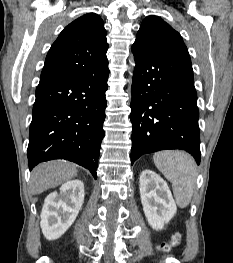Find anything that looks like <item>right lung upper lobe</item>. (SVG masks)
Listing matches in <instances>:
<instances>
[{
  "instance_id": "cb5924a9",
  "label": "right lung upper lobe",
  "mask_w": 233,
  "mask_h": 263,
  "mask_svg": "<svg viewBox=\"0 0 233 263\" xmlns=\"http://www.w3.org/2000/svg\"><path fill=\"white\" fill-rule=\"evenodd\" d=\"M107 49L101 17L95 13L79 17L64 28L51 46L39 84L93 74L107 60Z\"/></svg>"
}]
</instances>
